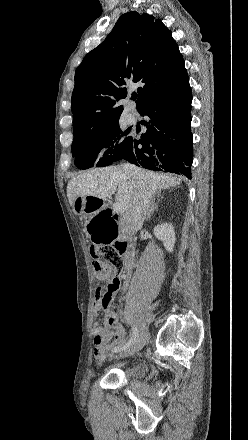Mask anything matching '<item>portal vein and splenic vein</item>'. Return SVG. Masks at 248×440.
I'll list each match as a JSON object with an SVG mask.
<instances>
[{
    "mask_svg": "<svg viewBox=\"0 0 248 440\" xmlns=\"http://www.w3.org/2000/svg\"><path fill=\"white\" fill-rule=\"evenodd\" d=\"M113 209H114V211H116V212H122V211H124V207H123L122 204L119 203V202L114 203V205H113Z\"/></svg>",
    "mask_w": 248,
    "mask_h": 440,
    "instance_id": "1",
    "label": "portal vein and splenic vein"
}]
</instances>
